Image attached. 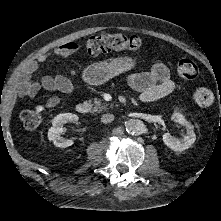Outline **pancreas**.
<instances>
[{
	"label": "pancreas",
	"instance_id": "cf45deb5",
	"mask_svg": "<svg viewBox=\"0 0 221 221\" xmlns=\"http://www.w3.org/2000/svg\"><path fill=\"white\" fill-rule=\"evenodd\" d=\"M94 104L95 106L92 107V112H96V113H100L102 112L103 110L106 109V107L104 105H102L101 101L100 100H94Z\"/></svg>",
	"mask_w": 221,
	"mask_h": 221
}]
</instances>
